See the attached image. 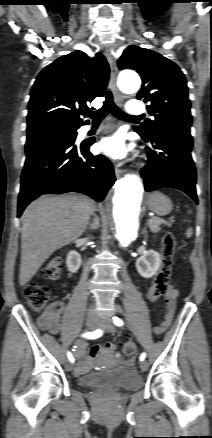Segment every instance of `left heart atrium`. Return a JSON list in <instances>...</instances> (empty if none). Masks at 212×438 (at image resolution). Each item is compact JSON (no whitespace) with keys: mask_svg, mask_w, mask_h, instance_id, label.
Masks as SVG:
<instances>
[{"mask_svg":"<svg viewBox=\"0 0 212 438\" xmlns=\"http://www.w3.org/2000/svg\"><path fill=\"white\" fill-rule=\"evenodd\" d=\"M99 150L112 159H122L128 154L130 147L120 134H114L100 141Z\"/></svg>","mask_w":212,"mask_h":438,"instance_id":"1","label":"left heart atrium"}]
</instances>
